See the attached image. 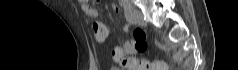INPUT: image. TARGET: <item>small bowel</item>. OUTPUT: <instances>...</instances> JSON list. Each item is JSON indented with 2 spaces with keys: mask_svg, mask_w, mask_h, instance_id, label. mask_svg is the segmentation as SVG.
I'll list each match as a JSON object with an SVG mask.
<instances>
[{
  "mask_svg": "<svg viewBox=\"0 0 238 70\" xmlns=\"http://www.w3.org/2000/svg\"><path fill=\"white\" fill-rule=\"evenodd\" d=\"M80 6H81V10L82 12L91 18H98L99 17V12L96 8L90 6L88 4V2L86 0H79ZM116 12H118V9H115ZM125 30L128 32L129 28L126 27ZM93 31H94V35L97 41H104L107 36H108V29L107 27L100 22H96L93 24ZM135 40H131V41H126L122 44V49H123V54H133L136 51H138L135 46ZM113 55H114V49L112 51ZM116 61H119V59H115ZM166 69V68H165Z\"/></svg>",
  "mask_w": 238,
  "mask_h": 70,
  "instance_id": "1",
  "label": "small bowel"
}]
</instances>
